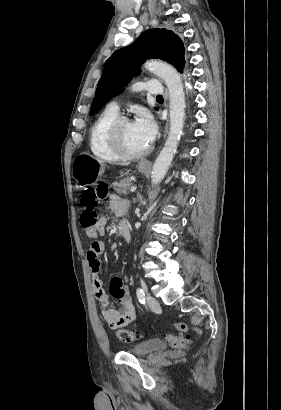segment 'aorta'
<instances>
[{"mask_svg":"<svg viewBox=\"0 0 281 410\" xmlns=\"http://www.w3.org/2000/svg\"><path fill=\"white\" fill-rule=\"evenodd\" d=\"M144 67L164 80L169 90L170 129L163 149L158 155L152 170V185L159 184L165 177L178 147L185 118V93L178 72L169 64L151 60Z\"/></svg>","mask_w":281,"mask_h":410,"instance_id":"obj_1","label":"aorta"}]
</instances>
